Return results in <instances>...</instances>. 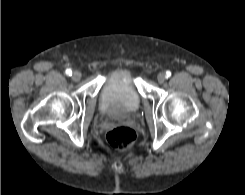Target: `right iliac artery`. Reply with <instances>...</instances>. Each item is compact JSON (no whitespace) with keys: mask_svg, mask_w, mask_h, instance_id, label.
<instances>
[{"mask_svg":"<svg viewBox=\"0 0 245 195\" xmlns=\"http://www.w3.org/2000/svg\"><path fill=\"white\" fill-rule=\"evenodd\" d=\"M65 73H66V75H68V76H71V75H72L71 69H67V70L65 71Z\"/></svg>","mask_w":245,"mask_h":195,"instance_id":"82829eb1","label":"right iliac artery"}]
</instances>
